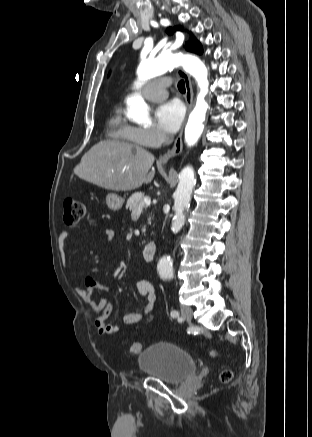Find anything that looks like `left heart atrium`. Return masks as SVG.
<instances>
[{
	"mask_svg": "<svg viewBox=\"0 0 312 437\" xmlns=\"http://www.w3.org/2000/svg\"><path fill=\"white\" fill-rule=\"evenodd\" d=\"M155 118L160 129L168 134H173L179 129L183 121L184 108L176 100L165 102L157 108Z\"/></svg>",
	"mask_w": 312,
	"mask_h": 437,
	"instance_id": "1",
	"label": "left heart atrium"
}]
</instances>
